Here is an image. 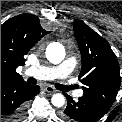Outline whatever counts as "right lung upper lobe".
<instances>
[{
	"label": "right lung upper lobe",
	"mask_w": 122,
	"mask_h": 122,
	"mask_svg": "<svg viewBox=\"0 0 122 122\" xmlns=\"http://www.w3.org/2000/svg\"><path fill=\"white\" fill-rule=\"evenodd\" d=\"M48 33L31 14L18 15L1 25V82L24 81L16 68L25 64V55Z\"/></svg>",
	"instance_id": "right-lung-upper-lobe-1"
}]
</instances>
